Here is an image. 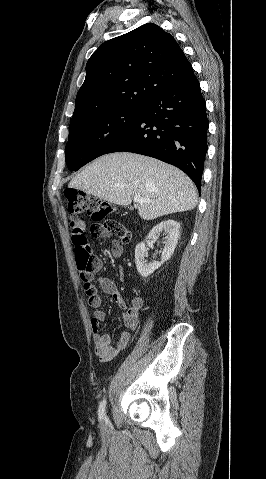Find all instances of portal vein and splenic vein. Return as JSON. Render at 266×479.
<instances>
[{"instance_id": "obj_1", "label": "portal vein and splenic vein", "mask_w": 266, "mask_h": 479, "mask_svg": "<svg viewBox=\"0 0 266 479\" xmlns=\"http://www.w3.org/2000/svg\"><path fill=\"white\" fill-rule=\"evenodd\" d=\"M133 200H134V202H136V203L149 202V200L143 199V198H141V196H135Z\"/></svg>"}]
</instances>
